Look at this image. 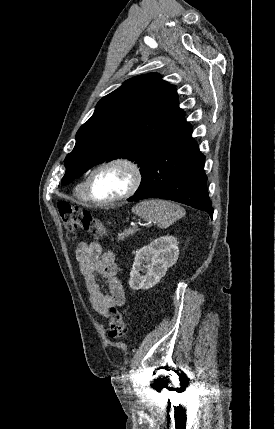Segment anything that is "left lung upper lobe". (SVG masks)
<instances>
[{
    "label": "left lung upper lobe",
    "mask_w": 275,
    "mask_h": 429,
    "mask_svg": "<svg viewBox=\"0 0 275 429\" xmlns=\"http://www.w3.org/2000/svg\"><path fill=\"white\" fill-rule=\"evenodd\" d=\"M184 120L175 86L156 73L127 80L103 97L76 134L65 160L67 185L96 164L117 157L138 163L141 174Z\"/></svg>",
    "instance_id": "left-lung-upper-lobe-1"
}]
</instances>
